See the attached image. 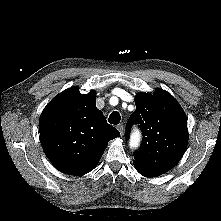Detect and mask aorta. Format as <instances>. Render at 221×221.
Instances as JSON below:
<instances>
[{
    "mask_svg": "<svg viewBox=\"0 0 221 221\" xmlns=\"http://www.w3.org/2000/svg\"><path fill=\"white\" fill-rule=\"evenodd\" d=\"M140 142V134L139 132H135L132 134L131 139H130V147L136 148L139 146Z\"/></svg>",
    "mask_w": 221,
    "mask_h": 221,
    "instance_id": "obj_1",
    "label": "aorta"
}]
</instances>
